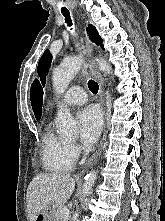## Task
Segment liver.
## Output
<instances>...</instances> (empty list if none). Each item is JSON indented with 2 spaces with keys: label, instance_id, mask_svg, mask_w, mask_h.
Instances as JSON below:
<instances>
[{
  "label": "liver",
  "instance_id": "liver-1",
  "mask_svg": "<svg viewBox=\"0 0 165 221\" xmlns=\"http://www.w3.org/2000/svg\"><path fill=\"white\" fill-rule=\"evenodd\" d=\"M75 189V179L69 174H37L30 182L27 194V212L30 221L48 206H63Z\"/></svg>",
  "mask_w": 165,
  "mask_h": 221
}]
</instances>
